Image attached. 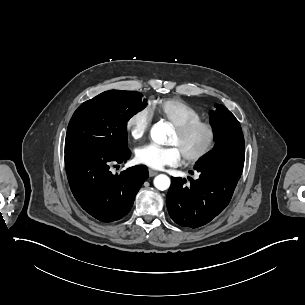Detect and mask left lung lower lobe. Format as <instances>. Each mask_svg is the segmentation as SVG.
Instances as JSON below:
<instances>
[{"label":"left lung lower lobe","instance_id":"obj_1","mask_svg":"<svg viewBox=\"0 0 305 305\" xmlns=\"http://www.w3.org/2000/svg\"><path fill=\"white\" fill-rule=\"evenodd\" d=\"M244 163L207 162L195 166L197 180L171 178L166 204L170 217L180 226L198 228L210 222L230 202ZM189 173L193 174L192 171Z\"/></svg>","mask_w":305,"mask_h":305}]
</instances>
